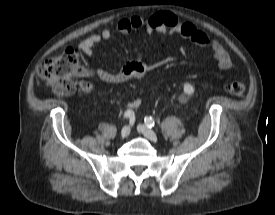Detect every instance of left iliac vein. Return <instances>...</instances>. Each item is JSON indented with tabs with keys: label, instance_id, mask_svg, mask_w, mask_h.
Instances as JSON below:
<instances>
[{
	"label": "left iliac vein",
	"instance_id": "obj_1",
	"mask_svg": "<svg viewBox=\"0 0 275 215\" xmlns=\"http://www.w3.org/2000/svg\"><path fill=\"white\" fill-rule=\"evenodd\" d=\"M138 130L149 140L153 142H156L158 140L156 133L149 129L146 125H138Z\"/></svg>",
	"mask_w": 275,
	"mask_h": 215
}]
</instances>
